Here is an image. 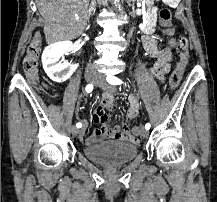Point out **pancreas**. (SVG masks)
<instances>
[{"instance_id": "1", "label": "pancreas", "mask_w": 217, "mask_h": 202, "mask_svg": "<svg viewBox=\"0 0 217 202\" xmlns=\"http://www.w3.org/2000/svg\"><path fill=\"white\" fill-rule=\"evenodd\" d=\"M156 30H151V31H149V34H151V35H156Z\"/></svg>"}]
</instances>
